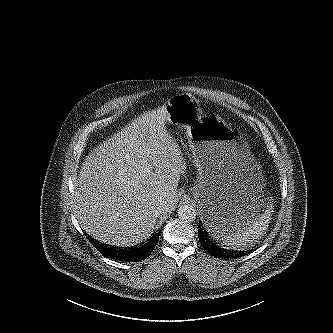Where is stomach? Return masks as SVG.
<instances>
[{"mask_svg": "<svg viewBox=\"0 0 333 333\" xmlns=\"http://www.w3.org/2000/svg\"><path fill=\"white\" fill-rule=\"evenodd\" d=\"M166 120L184 127L198 169L194 199L205 231L220 243L266 210L270 191L248 143L218 117H205L191 94L172 96Z\"/></svg>", "mask_w": 333, "mask_h": 333, "instance_id": "0dacf381", "label": "stomach"}]
</instances>
